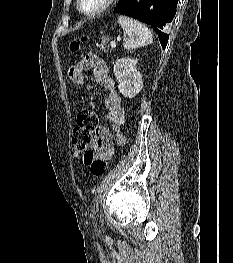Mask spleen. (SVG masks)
<instances>
[{"instance_id":"3e777b00","label":"spleen","mask_w":233,"mask_h":263,"mask_svg":"<svg viewBox=\"0 0 233 263\" xmlns=\"http://www.w3.org/2000/svg\"><path fill=\"white\" fill-rule=\"evenodd\" d=\"M118 23L121 25L124 33V49H136L152 43V33L144 24L123 15L118 17Z\"/></svg>"}]
</instances>
